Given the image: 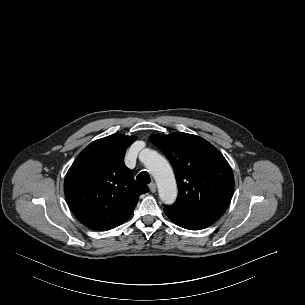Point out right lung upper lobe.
Segmentation results:
<instances>
[{
	"label": "right lung upper lobe",
	"mask_w": 305,
	"mask_h": 305,
	"mask_svg": "<svg viewBox=\"0 0 305 305\" xmlns=\"http://www.w3.org/2000/svg\"><path fill=\"white\" fill-rule=\"evenodd\" d=\"M135 136L113 134L89 144L77 156L64 181V193L76 218L85 226L113 229L132 214L149 188L134 180L124 164Z\"/></svg>",
	"instance_id": "right-lung-upper-lobe-1"
}]
</instances>
